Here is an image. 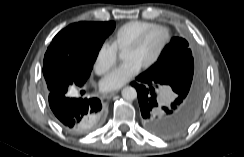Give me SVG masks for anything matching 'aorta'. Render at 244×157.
<instances>
[{
    "label": "aorta",
    "instance_id": "1",
    "mask_svg": "<svg viewBox=\"0 0 244 157\" xmlns=\"http://www.w3.org/2000/svg\"><path fill=\"white\" fill-rule=\"evenodd\" d=\"M122 97L127 101H132L137 98V92L134 87L127 86L122 90Z\"/></svg>",
    "mask_w": 244,
    "mask_h": 157
}]
</instances>
